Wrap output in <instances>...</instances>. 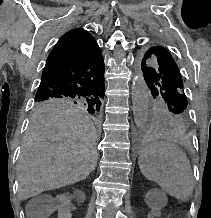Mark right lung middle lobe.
<instances>
[{
    "label": "right lung middle lobe",
    "instance_id": "obj_1",
    "mask_svg": "<svg viewBox=\"0 0 211 218\" xmlns=\"http://www.w3.org/2000/svg\"><path fill=\"white\" fill-rule=\"evenodd\" d=\"M80 105L85 107L89 113L97 116L100 111L101 100L93 98H69V97H45L35 98L37 109H48L60 106Z\"/></svg>",
    "mask_w": 211,
    "mask_h": 218
}]
</instances>
